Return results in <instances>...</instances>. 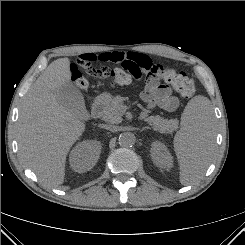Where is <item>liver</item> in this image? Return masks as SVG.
<instances>
[{"mask_svg": "<svg viewBox=\"0 0 245 245\" xmlns=\"http://www.w3.org/2000/svg\"><path fill=\"white\" fill-rule=\"evenodd\" d=\"M70 80L69 58L53 61L32 84L19 112V156L48 187L63 184L67 154L85 130L84 122L57 100V91Z\"/></svg>", "mask_w": 245, "mask_h": 245, "instance_id": "1", "label": "liver"}]
</instances>
